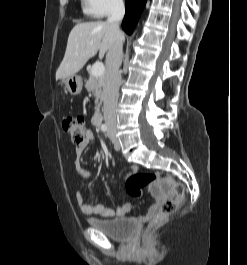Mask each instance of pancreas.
Listing matches in <instances>:
<instances>
[{
	"label": "pancreas",
	"instance_id": "1",
	"mask_svg": "<svg viewBox=\"0 0 247 265\" xmlns=\"http://www.w3.org/2000/svg\"><path fill=\"white\" fill-rule=\"evenodd\" d=\"M88 92H92L95 96L96 111H99L101 103L104 99L105 92V76H94L91 71H89V78L85 85Z\"/></svg>",
	"mask_w": 247,
	"mask_h": 265
}]
</instances>
